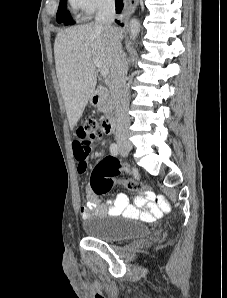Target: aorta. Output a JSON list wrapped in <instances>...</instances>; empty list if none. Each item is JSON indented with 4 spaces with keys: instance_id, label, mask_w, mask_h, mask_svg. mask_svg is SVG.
I'll return each instance as SVG.
<instances>
[{
    "instance_id": "762f6f07",
    "label": "aorta",
    "mask_w": 227,
    "mask_h": 298,
    "mask_svg": "<svg viewBox=\"0 0 227 298\" xmlns=\"http://www.w3.org/2000/svg\"><path fill=\"white\" fill-rule=\"evenodd\" d=\"M129 32L130 38L135 41L140 32V22L138 21V19H131L129 23Z\"/></svg>"
}]
</instances>
